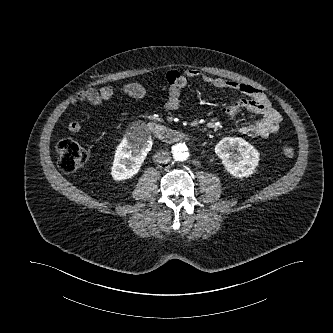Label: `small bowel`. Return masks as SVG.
Here are the masks:
<instances>
[{
    "label": "small bowel",
    "mask_w": 333,
    "mask_h": 333,
    "mask_svg": "<svg viewBox=\"0 0 333 333\" xmlns=\"http://www.w3.org/2000/svg\"><path fill=\"white\" fill-rule=\"evenodd\" d=\"M199 77L204 83L216 89L238 91L246 96V98H240L229 103L222 110L223 114L230 119H234L241 110H247L259 116L257 121L242 125L239 129L241 134L252 138H265L279 130L282 117L280 113L272 107L268 98L261 90L245 83L204 75L198 69L194 68L188 69L183 73L178 71L167 73L166 80L169 89L164 103L165 108L167 110L178 109L182 103V89L187 86L190 79ZM116 93L141 99L145 96L146 90L141 84L135 82L127 83L117 90L110 86L101 87L99 89L91 88L78 93L72 100V104L80 102L100 104L110 100ZM67 127L69 131L73 133H77L81 130L80 123L75 120H70Z\"/></svg>",
    "instance_id": "obj_1"
}]
</instances>
